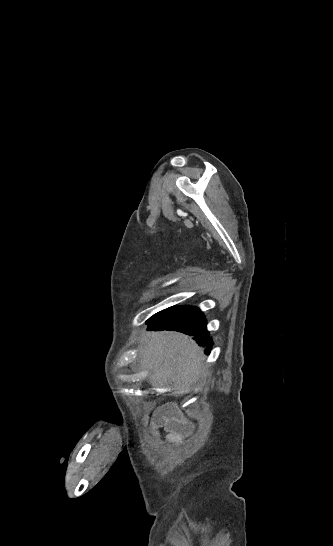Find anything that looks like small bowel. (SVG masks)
Wrapping results in <instances>:
<instances>
[{"label": "small bowel", "mask_w": 333, "mask_h": 546, "mask_svg": "<svg viewBox=\"0 0 333 546\" xmlns=\"http://www.w3.org/2000/svg\"><path fill=\"white\" fill-rule=\"evenodd\" d=\"M163 427L167 433L166 441L168 443L179 444L191 432L192 424L183 418H177L164 421Z\"/></svg>", "instance_id": "1"}]
</instances>
